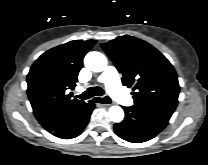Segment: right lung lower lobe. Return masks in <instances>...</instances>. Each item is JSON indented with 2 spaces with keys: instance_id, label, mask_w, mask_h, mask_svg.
<instances>
[{
  "instance_id": "right-lung-lower-lobe-1",
  "label": "right lung lower lobe",
  "mask_w": 208,
  "mask_h": 165,
  "mask_svg": "<svg viewBox=\"0 0 208 165\" xmlns=\"http://www.w3.org/2000/svg\"><path fill=\"white\" fill-rule=\"evenodd\" d=\"M94 107V102L89 101L85 109L78 116H76L64 126L50 133L63 139H72L79 136L88 124L91 112L93 111Z\"/></svg>"
}]
</instances>
